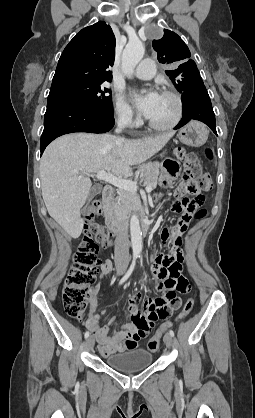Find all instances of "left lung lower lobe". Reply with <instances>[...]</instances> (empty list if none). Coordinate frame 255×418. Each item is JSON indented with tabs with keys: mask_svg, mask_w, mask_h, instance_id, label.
Here are the masks:
<instances>
[{
	"mask_svg": "<svg viewBox=\"0 0 255 418\" xmlns=\"http://www.w3.org/2000/svg\"><path fill=\"white\" fill-rule=\"evenodd\" d=\"M182 119L175 127L178 129L190 120H199L208 125L217 135L215 115L204 84L182 93Z\"/></svg>",
	"mask_w": 255,
	"mask_h": 418,
	"instance_id": "1",
	"label": "left lung lower lobe"
}]
</instances>
